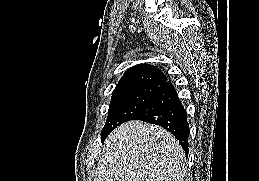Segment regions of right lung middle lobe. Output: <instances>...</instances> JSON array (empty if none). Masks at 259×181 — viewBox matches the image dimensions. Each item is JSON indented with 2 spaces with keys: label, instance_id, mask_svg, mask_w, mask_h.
<instances>
[{
  "label": "right lung middle lobe",
  "instance_id": "obj_1",
  "mask_svg": "<svg viewBox=\"0 0 259 181\" xmlns=\"http://www.w3.org/2000/svg\"><path fill=\"white\" fill-rule=\"evenodd\" d=\"M159 89L160 85H133L115 88L101 137L108 136L117 126L135 118Z\"/></svg>",
  "mask_w": 259,
  "mask_h": 181
}]
</instances>
